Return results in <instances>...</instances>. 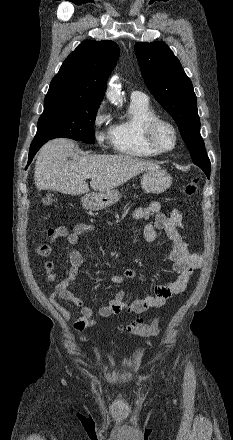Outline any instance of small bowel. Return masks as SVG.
Segmentation results:
<instances>
[{
  "instance_id": "c3829d8e",
  "label": "small bowel",
  "mask_w": 233,
  "mask_h": 440,
  "mask_svg": "<svg viewBox=\"0 0 233 440\" xmlns=\"http://www.w3.org/2000/svg\"><path fill=\"white\" fill-rule=\"evenodd\" d=\"M132 218L136 220H148L154 218L153 223L145 225L143 230L144 238L147 242H154L157 237L156 229L164 230L172 241V249L169 254L172 262V269L177 277L169 285H157L154 294L141 299L126 302V293L122 290L117 291L107 304L93 309L86 304V298L74 294L70 290V284L74 282L83 266L84 258L79 251L73 249L78 243L81 235L91 232L94 227L91 224H76L71 231L65 226H57L47 231L49 243H39L36 245V253L42 257H49L52 254V244L59 238H66L69 251L70 269L65 279L60 281L55 290L49 295L51 305L58 311L61 317L68 321L71 319V312L59 303L58 300H65L73 303L79 308L80 315L73 324V329L81 333L95 326L94 316L102 318L110 317L120 313L142 314L151 308H161L175 295L182 293L194 270L199 269L203 264L201 253H191L188 249L180 230L183 225V217L178 209H173L168 215L161 212V205L157 201H152L146 207H140L132 212ZM43 273L46 283H51L59 278L55 271V264L52 261L45 263ZM136 276L134 269H125L120 274H110L112 282L123 283Z\"/></svg>"
}]
</instances>
